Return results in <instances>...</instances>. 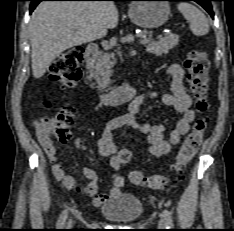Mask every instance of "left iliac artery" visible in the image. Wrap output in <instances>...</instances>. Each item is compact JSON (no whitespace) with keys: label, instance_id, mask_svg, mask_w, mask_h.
I'll return each instance as SVG.
<instances>
[{"label":"left iliac artery","instance_id":"obj_1","mask_svg":"<svg viewBox=\"0 0 234 231\" xmlns=\"http://www.w3.org/2000/svg\"><path fill=\"white\" fill-rule=\"evenodd\" d=\"M163 214H164V218H165V220L167 222V228L168 229L173 228L171 213L168 210H164Z\"/></svg>","mask_w":234,"mask_h":231}]
</instances>
